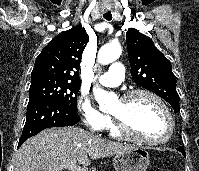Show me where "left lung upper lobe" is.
I'll return each instance as SVG.
<instances>
[{
  "instance_id": "5c2ea615",
  "label": "left lung upper lobe",
  "mask_w": 199,
  "mask_h": 171,
  "mask_svg": "<svg viewBox=\"0 0 199 171\" xmlns=\"http://www.w3.org/2000/svg\"><path fill=\"white\" fill-rule=\"evenodd\" d=\"M126 42L133 80L163 98L177 113L180 98L170 61L150 38L134 28L128 29Z\"/></svg>"
}]
</instances>
